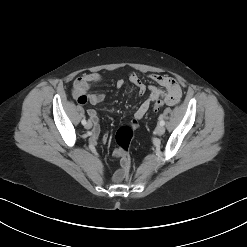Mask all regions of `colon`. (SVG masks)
Returning <instances> with one entry per match:
<instances>
[{
  "label": "colon",
  "instance_id": "1",
  "mask_svg": "<svg viewBox=\"0 0 247 247\" xmlns=\"http://www.w3.org/2000/svg\"><path fill=\"white\" fill-rule=\"evenodd\" d=\"M166 104L167 103L164 99H157L154 103V111L158 112ZM136 127H137V122L133 121L130 125L119 128L115 136V140L117 144L115 153L120 158L121 178L125 180L129 178V171H130L129 146L134 137V131Z\"/></svg>",
  "mask_w": 247,
  "mask_h": 247
}]
</instances>
